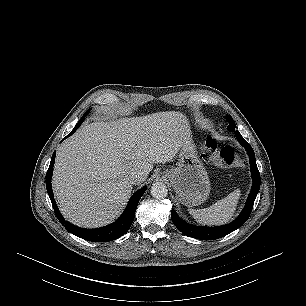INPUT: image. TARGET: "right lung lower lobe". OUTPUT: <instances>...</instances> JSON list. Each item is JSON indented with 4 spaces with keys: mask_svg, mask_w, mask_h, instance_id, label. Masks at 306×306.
<instances>
[{
    "mask_svg": "<svg viewBox=\"0 0 306 306\" xmlns=\"http://www.w3.org/2000/svg\"><path fill=\"white\" fill-rule=\"evenodd\" d=\"M78 129V128H77ZM77 129H73L66 137H69L72 135ZM64 140V139H63ZM55 153H53L51 162L46 174V188L48 195L50 197V200L52 202V206L54 208L56 217L58 220L61 222L63 226L72 234L88 241H93V242H108L115 240L119 238L120 236L124 235L130 228L134 216H135V211L137 208V204L144 194L146 187L138 190L133 194L131 197L125 211L123 214L112 224L101 227V228H96V229H85V228H80L78 226H75L63 218L61 215L52 191V186H51V177L53 173V166H54V160H55Z\"/></svg>",
    "mask_w": 306,
    "mask_h": 306,
    "instance_id": "98d812e1",
    "label": "right lung lower lobe"
}]
</instances>
